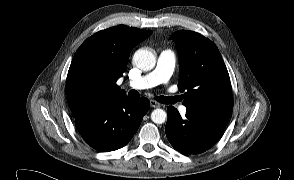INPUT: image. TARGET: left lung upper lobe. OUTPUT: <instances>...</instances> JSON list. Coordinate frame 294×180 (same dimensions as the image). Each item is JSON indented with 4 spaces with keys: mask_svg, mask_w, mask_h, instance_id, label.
<instances>
[{
    "mask_svg": "<svg viewBox=\"0 0 294 180\" xmlns=\"http://www.w3.org/2000/svg\"><path fill=\"white\" fill-rule=\"evenodd\" d=\"M179 53L180 91L183 105L197 108L232 110L230 77L216 45L203 35L187 30L170 37Z\"/></svg>",
    "mask_w": 294,
    "mask_h": 180,
    "instance_id": "5c2ea615",
    "label": "left lung upper lobe"
}]
</instances>
